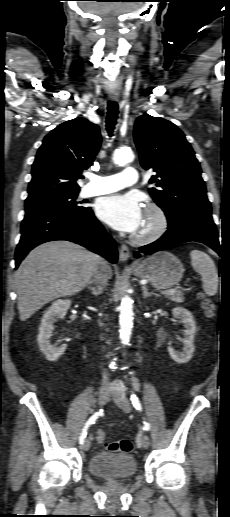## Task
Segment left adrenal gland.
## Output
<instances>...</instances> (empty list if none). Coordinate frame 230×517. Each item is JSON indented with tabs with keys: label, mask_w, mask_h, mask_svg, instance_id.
Returning <instances> with one entry per match:
<instances>
[{
	"label": "left adrenal gland",
	"mask_w": 230,
	"mask_h": 517,
	"mask_svg": "<svg viewBox=\"0 0 230 517\" xmlns=\"http://www.w3.org/2000/svg\"><path fill=\"white\" fill-rule=\"evenodd\" d=\"M142 291H143V298H147V297H150L152 295H156L155 293L153 292H149L148 289L145 287V286H142Z\"/></svg>",
	"instance_id": "left-adrenal-gland-1"
}]
</instances>
